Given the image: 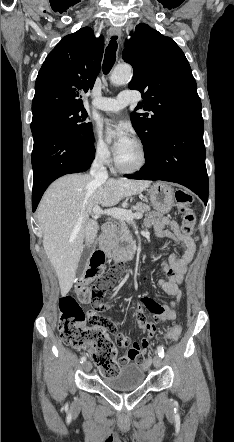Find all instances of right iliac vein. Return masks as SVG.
Listing matches in <instances>:
<instances>
[{
  "label": "right iliac vein",
  "mask_w": 234,
  "mask_h": 442,
  "mask_svg": "<svg viewBox=\"0 0 234 442\" xmlns=\"http://www.w3.org/2000/svg\"><path fill=\"white\" fill-rule=\"evenodd\" d=\"M91 368H92V366H91V363H90L89 361H84V362H83V364H82V369H83L85 372H89V371L91 370Z\"/></svg>",
  "instance_id": "right-iliac-vein-1"
}]
</instances>
